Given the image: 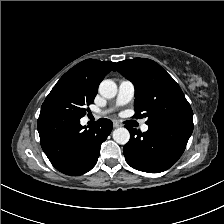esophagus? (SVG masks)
Segmentation results:
<instances>
[{
	"label": "esophagus",
	"mask_w": 224,
	"mask_h": 224,
	"mask_svg": "<svg viewBox=\"0 0 224 224\" xmlns=\"http://www.w3.org/2000/svg\"><path fill=\"white\" fill-rule=\"evenodd\" d=\"M113 126H114V128H117V127H120L121 124L118 121L114 120L113 121Z\"/></svg>",
	"instance_id": "1"
}]
</instances>
